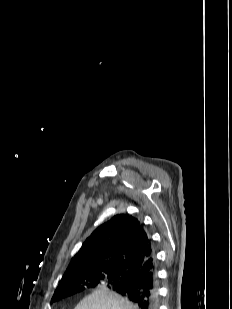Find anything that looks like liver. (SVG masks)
Here are the masks:
<instances>
[{
	"label": "liver",
	"instance_id": "6515ba94",
	"mask_svg": "<svg viewBox=\"0 0 232 309\" xmlns=\"http://www.w3.org/2000/svg\"><path fill=\"white\" fill-rule=\"evenodd\" d=\"M74 309H139L126 298L100 288L80 301Z\"/></svg>",
	"mask_w": 232,
	"mask_h": 309
}]
</instances>
